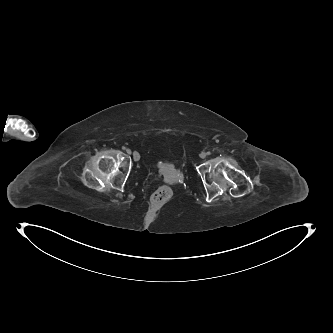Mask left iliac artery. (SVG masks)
Segmentation results:
<instances>
[{"instance_id": "1", "label": "left iliac artery", "mask_w": 333, "mask_h": 333, "mask_svg": "<svg viewBox=\"0 0 333 333\" xmlns=\"http://www.w3.org/2000/svg\"><path fill=\"white\" fill-rule=\"evenodd\" d=\"M210 154H211V152H210V151H208V152H207V155H210Z\"/></svg>"}]
</instances>
